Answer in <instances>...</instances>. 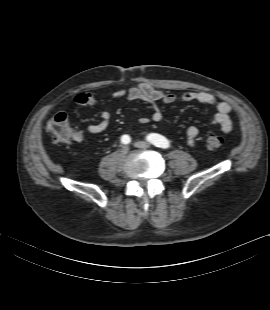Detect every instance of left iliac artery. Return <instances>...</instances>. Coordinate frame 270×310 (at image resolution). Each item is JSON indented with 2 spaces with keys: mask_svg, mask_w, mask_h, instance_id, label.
Returning a JSON list of instances; mask_svg holds the SVG:
<instances>
[{
  "mask_svg": "<svg viewBox=\"0 0 270 310\" xmlns=\"http://www.w3.org/2000/svg\"><path fill=\"white\" fill-rule=\"evenodd\" d=\"M147 141H149L151 144L155 145L156 147H160L163 149L170 147L169 141L160 134H156V133L149 134L147 136Z\"/></svg>",
  "mask_w": 270,
  "mask_h": 310,
  "instance_id": "obj_1",
  "label": "left iliac artery"
}]
</instances>
